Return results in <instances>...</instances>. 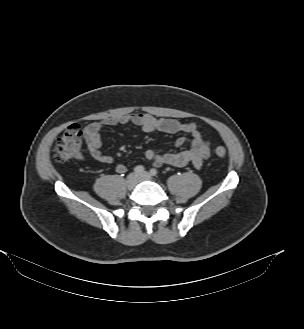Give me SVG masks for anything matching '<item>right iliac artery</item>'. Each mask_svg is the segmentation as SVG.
<instances>
[{
    "label": "right iliac artery",
    "instance_id": "1",
    "mask_svg": "<svg viewBox=\"0 0 304 329\" xmlns=\"http://www.w3.org/2000/svg\"><path fill=\"white\" fill-rule=\"evenodd\" d=\"M134 172H135L136 174H140V173L144 172V167L141 166V165H138V166H136V167L134 168Z\"/></svg>",
    "mask_w": 304,
    "mask_h": 329
}]
</instances>
